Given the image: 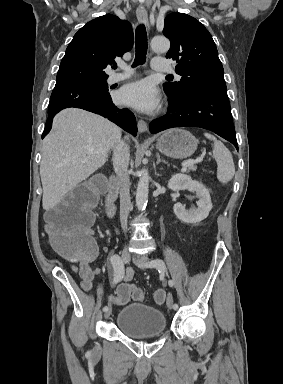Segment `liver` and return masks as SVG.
<instances>
[{
	"label": "liver",
	"mask_w": 283,
	"mask_h": 384,
	"mask_svg": "<svg viewBox=\"0 0 283 384\" xmlns=\"http://www.w3.org/2000/svg\"><path fill=\"white\" fill-rule=\"evenodd\" d=\"M120 138V128L101 116L77 108L59 112L42 146L43 210H52L67 192L102 168Z\"/></svg>",
	"instance_id": "obj_1"
}]
</instances>
